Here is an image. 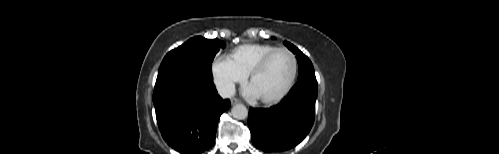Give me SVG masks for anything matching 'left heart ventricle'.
<instances>
[{
	"label": "left heart ventricle",
	"instance_id": "obj_1",
	"mask_svg": "<svg viewBox=\"0 0 499 154\" xmlns=\"http://www.w3.org/2000/svg\"><path fill=\"white\" fill-rule=\"evenodd\" d=\"M292 73V60L284 52L277 53L264 70L250 84L259 98H271L279 94L288 83Z\"/></svg>",
	"mask_w": 499,
	"mask_h": 154
}]
</instances>
